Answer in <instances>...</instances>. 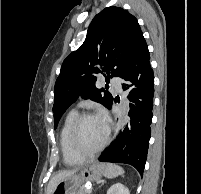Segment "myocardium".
Segmentation results:
<instances>
[{
    "label": "myocardium",
    "instance_id": "myocardium-1",
    "mask_svg": "<svg viewBox=\"0 0 201 194\" xmlns=\"http://www.w3.org/2000/svg\"><path fill=\"white\" fill-rule=\"evenodd\" d=\"M91 117H96V115L90 112H84L79 114L71 128L70 142L72 149L76 154L83 158H90L99 154L109 142V133H107L104 141L97 148L89 151L82 147L80 140L81 126L86 119Z\"/></svg>",
    "mask_w": 201,
    "mask_h": 194
}]
</instances>
